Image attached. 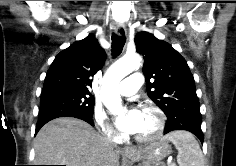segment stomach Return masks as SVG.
Here are the masks:
<instances>
[{
  "label": "stomach",
  "instance_id": "1",
  "mask_svg": "<svg viewBox=\"0 0 236 166\" xmlns=\"http://www.w3.org/2000/svg\"><path fill=\"white\" fill-rule=\"evenodd\" d=\"M171 153V148L166 142H155L139 149L129 157L133 160H142L143 166H159L161 161Z\"/></svg>",
  "mask_w": 236,
  "mask_h": 166
}]
</instances>
